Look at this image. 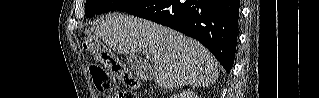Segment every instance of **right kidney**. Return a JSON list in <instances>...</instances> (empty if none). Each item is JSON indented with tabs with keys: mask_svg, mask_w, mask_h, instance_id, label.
I'll list each match as a JSON object with an SVG mask.
<instances>
[{
	"mask_svg": "<svg viewBox=\"0 0 319 98\" xmlns=\"http://www.w3.org/2000/svg\"><path fill=\"white\" fill-rule=\"evenodd\" d=\"M180 98H190L191 95L189 96L188 94H180L179 96ZM195 98H197V96H194Z\"/></svg>",
	"mask_w": 319,
	"mask_h": 98,
	"instance_id": "right-kidney-1",
	"label": "right kidney"
}]
</instances>
